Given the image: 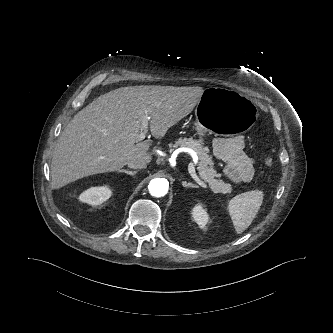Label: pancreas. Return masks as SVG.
<instances>
[{"mask_svg": "<svg viewBox=\"0 0 333 333\" xmlns=\"http://www.w3.org/2000/svg\"><path fill=\"white\" fill-rule=\"evenodd\" d=\"M173 147H189L198 155V172L200 177L209 184L212 191L215 193H230L232 187L230 184L223 182L222 180L215 179L217 176L214 170V163L212 157L208 153V149L204 147L200 141L193 140L192 138H179Z\"/></svg>", "mask_w": 333, "mask_h": 333, "instance_id": "obj_1", "label": "pancreas"}]
</instances>
